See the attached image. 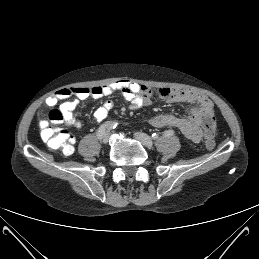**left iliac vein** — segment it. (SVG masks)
Instances as JSON below:
<instances>
[{"instance_id": "1", "label": "left iliac vein", "mask_w": 259, "mask_h": 259, "mask_svg": "<svg viewBox=\"0 0 259 259\" xmlns=\"http://www.w3.org/2000/svg\"><path fill=\"white\" fill-rule=\"evenodd\" d=\"M135 138L141 142L146 147H151L153 145V140L150 136L142 132H135Z\"/></svg>"}]
</instances>
